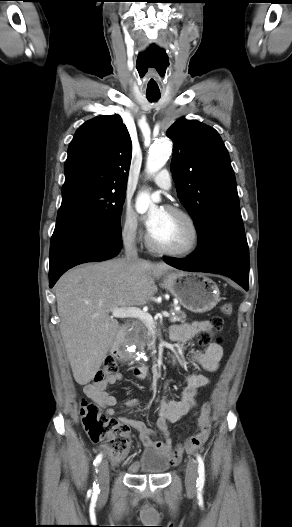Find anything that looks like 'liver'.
I'll return each instance as SVG.
<instances>
[{"label": "liver", "instance_id": "6515ba94", "mask_svg": "<svg viewBox=\"0 0 292 527\" xmlns=\"http://www.w3.org/2000/svg\"><path fill=\"white\" fill-rule=\"evenodd\" d=\"M168 270L165 263L117 258L76 267L58 280L60 332L78 384L94 378L120 328L112 309L147 304L157 291L154 278Z\"/></svg>", "mask_w": 292, "mask_h": 527}]
</instances>
